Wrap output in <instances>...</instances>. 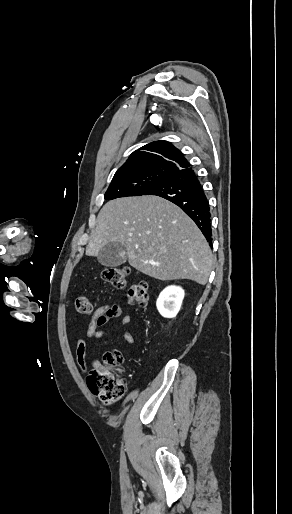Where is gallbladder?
<instances>
[{
  "instance_id": "bac80fb5",
  "label": "gallbladder",
  "mask_w": 292,
  "mask_h": 514,
  "mask_svg": "<svg viewBox=\"0 0 292 514\" xmlns=\"http://www.w3.org/2000/svg\"><path fill=\"white\" fill-rule=\"evenodd\" d=\"M97 260L102 266L116 268V266H121L126 262L127 252L120 242H109L99 250Z\"/></svg>"
}]
</instances>
